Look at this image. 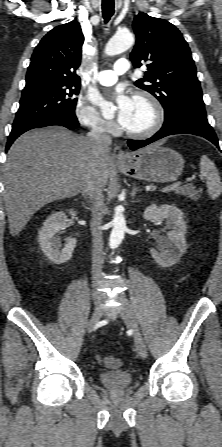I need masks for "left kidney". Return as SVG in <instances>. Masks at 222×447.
<instances>
[{
  "instance_id": "1",
  "label": "left kidney",
  "mask_w": 222,
  "mask_h": 447,
  "mask_svg": "<svg viewBox=\"0 0 222 447\" xmlns=\"http://www.w3.org/2000/svg\"><path fill=\"white\" fill-rule=\"evenodd\" d=\"M143 218L156 223L166 220L167 227L170 230L166 237L157 241L156 248L159 251L151 248L150 253L158 265L171 267L187 249L185 240L187 226L181 210L173 205L164 204L158 207L156 204H151L145 209Z\"/></svg>"
}]
</instances>
